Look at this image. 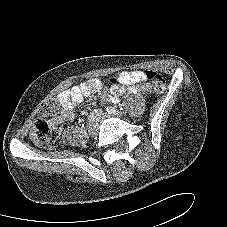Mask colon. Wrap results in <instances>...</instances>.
<instances>
[{
  "instance_id": "obj_1",
  "label": "colon",
  "mask_w": 227,
  "mask_h": 227,
  "mask_svg": "<svg viewBox=\"0 0 227 227\" xmlns=\"http://www.w3.org/2000/svg\"><path fill=\"white\" fill-rule=\"evenodd\" d=\"M145 78L150 82L151 87L155 92L160 93L165 90L166 80L160 73L156 71H146ZM111 82L115 83L116 79L113 78ZM56 109L57 102L53 98L45 100L40 106L41 113L43 114L55 112ZM50 135L51 132L48 123L44 119L41 118L36 119L35 124L30 133L32 141L40 147H46L50 143Z\"/></svg>"
}]
</instances>
